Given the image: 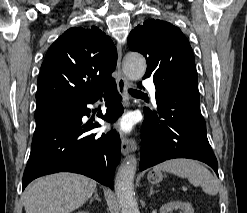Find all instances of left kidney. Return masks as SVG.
Returning <instances> with one entry per match:
<instances>
[{"label": "left kidney", "instance_id": "1", "mask_svg": "<svg viewBox=\"0 0 247 213\" xmlns=\"http://www.w3.org/2000/svg\"><path fill=\"white\" fill-rule=\"evenodd\" d=\"M175 209H180L182 213H194V209L190 203L186 202H170L167 204H164L160 212L161 213H171Z\"/></svg>", "mask_w": 247, "mask_h": 213}]
</instances>
